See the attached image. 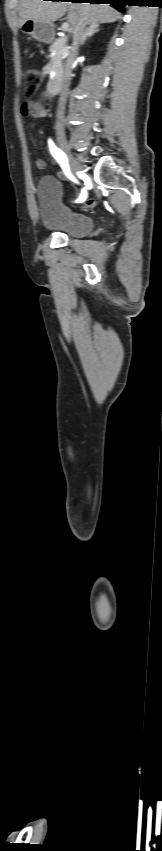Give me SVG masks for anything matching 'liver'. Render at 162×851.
Wrapping results in <instances>:
<instances>
[{
    "label": "liver",
    "instance_id": "1",
    "mask_svg": "<svg viewBox=\"0 0 162 851\" xmlns=\"http://www.w3.org/2000/svg\"><path fill=\"white\" fill-rule=\"evenodd\" d=\"M68 12L70 30L84 19L86 25L112 23L121 18V14L106 4L81 2H61L42 0H21L19 5V26L26 20L41 23H53Z\"/></svg>",
    "mask_w": 162,
    "mask_h": 851
}]
</instances>
